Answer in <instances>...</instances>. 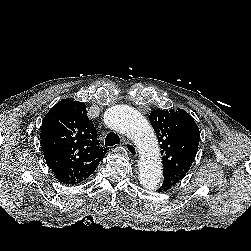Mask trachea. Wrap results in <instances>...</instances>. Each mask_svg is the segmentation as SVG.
I'll use <instances>...</instances> for the list:
<instances>
[{"instance_id":"obj_1","label":"trachea","mask_w":251,"mask_h":251,"mask_svg":"<svg viewBox=\"0 0 251 251\" xmlns=\"http://www.w3.org/2000/svg\"><path fill=\"white\" fill-rule=\"evenodd\" d=\"M120 138L117 134L111 132L105 138V146L110 147L119 144Z\"/></svg>"}]
</instances>
